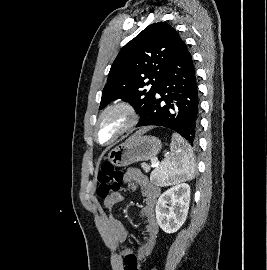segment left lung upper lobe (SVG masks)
<instances>
[{
    "label": "left lung upper lobe",
    "mask_w": 267,
    "mask_h": 270,
    "mask_svg": "<svg viewBox=\"0 0 267 270\" xmlns=\"http://www.w3.org/2000/svg\"><path fill=\"white\" fill-rule=\"evenodd\" d=\"M166 22L149 25L127 43L114 60L102 92L100 109L111 101L129 102L140 119L152 104L181 42ZM150 86V89H144Z\"/></svg>",
    "instance_id": "left-lung-upper-lobe-1"
}]
</instances>
